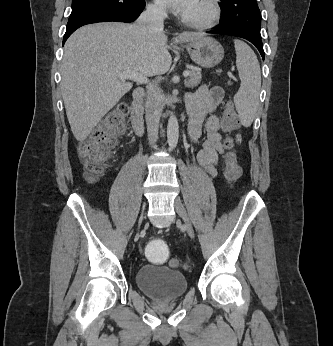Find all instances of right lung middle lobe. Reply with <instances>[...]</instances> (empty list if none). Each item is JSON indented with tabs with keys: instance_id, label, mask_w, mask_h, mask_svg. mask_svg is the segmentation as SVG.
I'll list each match as a JSON object with an SVG mask.
<instances>
[{
	"instance_id": "dd1d6c3e",
	"label": "right lung middle lobe",
	"mask_w": 333,
	"mask_h": 346,
	"mask_svg": "<svg viewBox=\"0 0 333 346\" xmlns=\"http://www.w3.org/2000/svg\"><path fill=\"white\" fill-rule=\"evenodd\" d=\"M139 0H72L69 20L77 15L93 10L127 11L138 4Z\"/></svg>"
}]
</instances>
